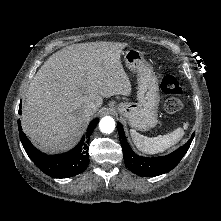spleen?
<instances>
[{
	"label": "spleen",
	"instance_id": "1",
	"mask_svg": "<svg viewBox=\"0 0 221 221\" xmlns=\"http://www.w3.org/2000/svg\"><path fill=\"white\" fill-rule=\"evenodd\" d=\"M188 123H184L183 128H177L173 132L166 135H159L157 137H147L139 134L134 129L130 130L131 137L136 147L147 154H156L163 152L176 144L184 135V129L187 128Z\"/></svg>",
	"mask_w": 221,
	"mask_h": 221
}]
</instances>
